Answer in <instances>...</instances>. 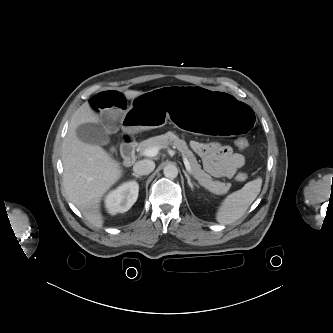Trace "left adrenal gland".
<instances>
[{"mask_svg":"<svg viewBox=\"0 0 333 333\" xmlns=\"http://www.w3.org/2000/svg\"><path fill=\"white\" fill-rule=\"evenodd\" d=\"M184 173H185V176H186V178H187L188 185H189V187L191 188V190H193L194 187H198V185H197L196 183L193 184V183L191 182V179H190L189 175L187 174V172H184Z\"/></svg>","mask_w":333,"mask_h":333,"instance_id":"a2214340","label":"left adrenal gland"}]
</instances>
